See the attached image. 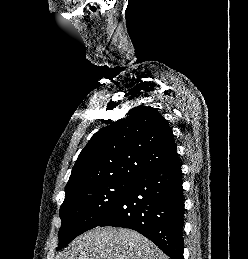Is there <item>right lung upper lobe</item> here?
Listing matches in <instances>:
<instances>
[{
  "mask_svg": "<svg viewBox=\"0 0 248 259\" xmlns=\"http://www.w3.org/2000/svg\"><path fill=\"white\" fill-rule=\"evenodd\" d=\"M178 159L168 122L157 109L137 106L126 119L95 133L76 160L65 192L88 184L133 181Z\"/></svg>",
  "mask_w": 248,
  "mask_h": 259,
  "instance_id": "cb5924a9",
  "label": "right lung upper lobe"
}]
</instances>
